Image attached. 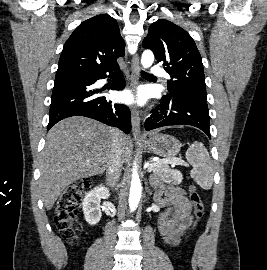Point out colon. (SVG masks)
Masks as SVG:
<instances>
[{"mask_svg":"<svg viewBox=\"0 0 267 270\" xmlns=\"http://www.w3.org/2000/svg\"><path fill=\"white\" fill-rule=\"evenodd\" d=\"M90 187L88 179H80L69 185L59 196L54 220L61 236L69 243L77 239L78 212L77 205L83 199ZM190 198L193 204L195 222H199L205 213V203L194 184L189 186Z\"/></svg>","mask_w":267,"mask_h":270,"instance_id":"obj_1","label":"colon"}]
</instances>
